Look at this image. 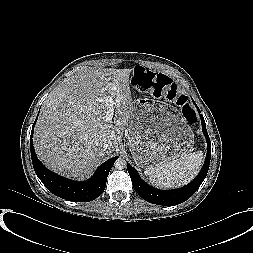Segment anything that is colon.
<instances>
[{
    "label": "colon",
    "mask_w": 253,
    "mask_h": 253,
    "mask_svg": "<svg viewBox=\"0 0 253 253\" xmlns=\"http://www.w3.org/2000/svg\"><path fill=\"white\" fill-rule=\"evenodd\" d=\"M134 78L149 81L154 87L153 94L157 99L164 100L168 98L182 108L183 115L188 121H195V113L190 108L186 96L176 91L174 83L168 77L163 74L148 72L138 66L134 70Z\"/></svg>",
    "instance_id": "obj_1"
}]
</instances>
